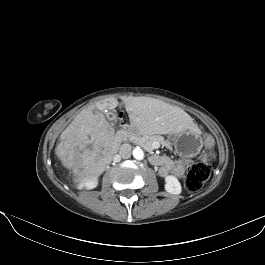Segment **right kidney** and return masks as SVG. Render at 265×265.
Returning a JSON list of instances; mask_svg holds the SVG:
<instances>
[{
    "label": "right kidney",
    "instance_id": "obj_1",
    "mask_svg": "<svg viewBox=\"0 0 265 265\" xmlns=\"http://www.w3.org/2000/svg\"><path fill=\"white\" fill-rule=\"evenodd\" d=\"M98 184V180L97 179H93V180H89L87 182L84 183H80V188L85 187L86 189H94Z\"/></svg>",
    "mask_w": 265,
    "mask_h": 265
}]
</instances>
